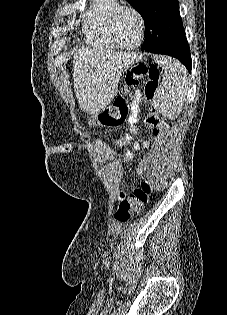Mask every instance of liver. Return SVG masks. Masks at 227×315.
<instances>
[{
    "label": "liver",
    "instance_id": "obj_1",
    "mask_svg": "<svg viewBox=\"0 0 227 315\" xmlns=\"http://www.w3.org/2000/svg\"><path fill=\"white\" fill-rule=\"evenodd\" d=\"M135 56L97 47L80 49L73 60L74 91L80 107L88 114L103 111L118 91L120 77Z\"/></svg>",
    "mask_w": 227,
    "mask_h": 315
}]
</instances>
